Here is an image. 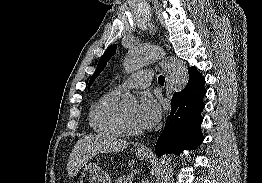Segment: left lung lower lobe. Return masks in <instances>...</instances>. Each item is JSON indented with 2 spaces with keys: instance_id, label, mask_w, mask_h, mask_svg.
<instances>
[{
  "instance_id": "0a47b994",
  "label": "left lung lower lobe",
  "mask_w": 262,
  "mask_h": 183,
  "mask_svg": "<svg viewBox=\"0 0 262 183\" xmlns=\"http://www.w3.org/2000/svg\"><path fill=\"white\" fill-rule=\"evenodd\" d=\"M204 83L205 78L195 67H190L187 86L181 92L174 93L172 97L170 116L155 146L158 156L195 149L203 141L201 111L205 106Z\"/></svg>"
}]
</instances>
